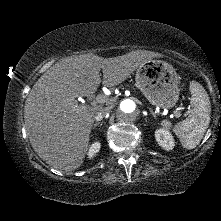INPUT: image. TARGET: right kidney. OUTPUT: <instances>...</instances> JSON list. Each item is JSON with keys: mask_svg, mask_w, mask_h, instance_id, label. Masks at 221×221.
<instances>
[{"mask_svg": "<svg viewBox=\"0 0 221 221\" xmlns=\"http://www.w3.org/2000/svg\"><path fill=\"white\" fill-rule=\"evenodd\" d=\"M101 147L100 142H94L93 144H91L89 150H88V158H92L96 155V153L99 152Z\"/></svg>", "mask_w": 221, "mask_h": 221, "instance_id": "right-kidney-1", "label": "right kidney"}]
</instances>
